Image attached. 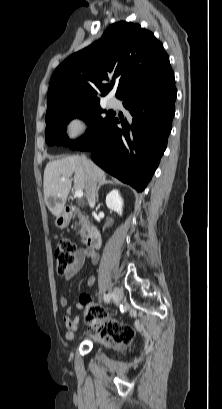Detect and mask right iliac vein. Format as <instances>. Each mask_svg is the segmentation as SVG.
Segmentation results:
<instances>
[{"label":"right iliac vein","mask_w":222,"mask_h":409,"mask_svg":"<svg viewBox=\"0 0 222 409\" xmlns=\"http://www.w3.org/2000/svg\"><path fill=\"white\" fill-rule=\"evenodd\" d=\"M113 296L115 299L120 300L123 297V292L120 288H115L113 290Z\"/></svg>","instance_id":"63e3f726"}]
</instances>
